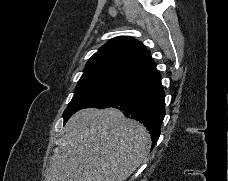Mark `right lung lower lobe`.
<instances>
[{"mask_svg": "<svg viewBox=\"0 0 228 181\" xmlns=\"http://www.w3.org/2000/svg\"><path fill=\"white\" fill-rule=\"evenodd\" d=\"M164 102L161 76L153 68L132 79L115 97L95 108L114 107L123 111L125 116L143 123L151 135L153 148L160 136L165 116Z\"/></svg>", "mask_w": 228, "mask_h": 181, "instance_id": "98d812e1", "label": "right lung lower lobe"}]
</instances>
